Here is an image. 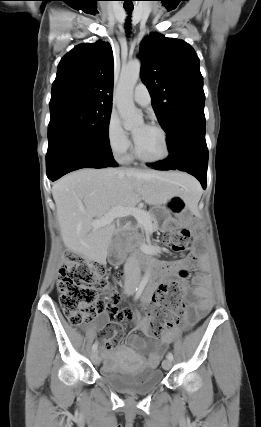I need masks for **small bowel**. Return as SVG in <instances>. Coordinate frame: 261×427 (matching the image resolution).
<instances>
[{"label": "small bowel", "mask_w": 261, "mask_h": 427, "mask_svg": "<svg viewBox=\"0 0 261 427\" xmlns=\"http://www.w3.org/2000/svg\"><path fill=\"white\" fill-rule=\"evenodd\" d=\"M196 256L190 254L186 258L176 261H159L158 271L154 279L150 282L146 292L142 296V307L145 308L151 301V298L156 290H161L162 287L176 276L172 273L175 268H192L195 265ZM195 286L193 290V297L196 302L194 310L188 312L184 317V328L187 329L201 319L211 307V288L209 279L204 274H199L193 278ZM113 302L105 304L107 316L102 317L99 324L103 327L100 334V342L105 351L115 345L122 336V327L119 325L121 321L131 319L133 325L137 329L143 331L147 330V320L143 318L139 311L132 312L130 310L121 311L116 307V297H112ZM112 322L117 326L108 324ZM180 334L178 326L174 325L169 330L164 332L158 340L145 341L142 337L136 334H130L128 337L129 345L137 350V354L131 355V359L135 362L140 369H153L158 366L161 357L171 342ZM144 354L147 357H144Z\"/></svg>", "instance_id": "1"}]
</instances>
